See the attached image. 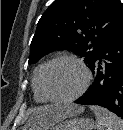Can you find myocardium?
<instances>
[{
    "label": "myocardium",
    "mask_w": 123,
    "mask_h": 130,
    "mask_svg": "<svg viewBox=\"0 0 123 130\" xmlns=\"http://www.w3.org/2000/svg\"><path fill=\"white\" fill-rule=\"evenodd\" d=\"M60 60H71V61L75 62L76 64H78L81 67V69L84 72V76H85L84 82H83L81 88L74 95H72L68 98H56V97L52 96L49 93V91L47 89V85H46L47 73H48L50 67L54 63H56ZM91 79H92L91 71L81 58L77 57L74 54H59V55H56L55 57H53L52 59H50L45 64V66L41 72V76H40V89H41L43 96L45 97V99L47 101L57 103V104H66V103H71V102L77 100L79 97H81L85 93V91L88 89Z\"/></svg>",
    "instance_id": "1"
}]
</instances>
